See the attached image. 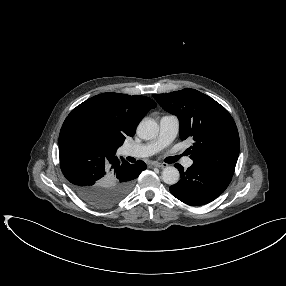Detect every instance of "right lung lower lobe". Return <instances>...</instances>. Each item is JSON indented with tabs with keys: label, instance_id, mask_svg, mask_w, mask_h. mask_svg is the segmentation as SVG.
Here are the masks:
<instances>
[{
	"label": "right lung lower lobe",
	"instance_id": "1",
	"mask_svg": "<svg viewBox=\"0 0 286 286\" xmlns=\"http://www.w3.org/2000/svg\"><path fill=\"white\" fill-rule=\"evenodd\" d=\"M60 166L74 192L98 208L111 207L131 190L133 180L146 169L139 160L129 164L105 153L98 142L75 124H63L59 134Z\"/></svg>",
	"mask_w": 286,
	"mask_h": 286
}]
</instances>
